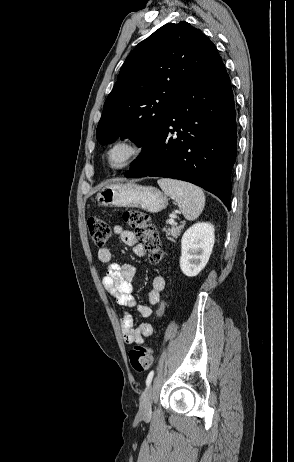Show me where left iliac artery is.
<instances>
[{"mask_svg": "<svg viewBox=\"0 0 294 462\" xmlns=\"http://www.w3.org/2000/svg\"><path fill=\"white\" fill-rule=\"evenodd\" d=\"M153 375H154V371L152 370V371L148 374L147 379H146V385H147V386L150 385V383H151V381H152V379H153Z\"/></svg>", "mask_w": 294, "mask_h": 462, "instance_id": "obj_1", "label": "left iliac artery"}]
</instances>
